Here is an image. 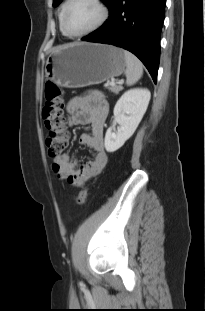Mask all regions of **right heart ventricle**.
Returning a JSON list of instances; mask_svg holds the SVG:
<instances>
[{"instance_id": "obj_1", "label": "right heart ventricle", "mask_w": 205, "mask_h": 311, "mask_svg": "<svg viewBox=\"0 0 205 311\" xmlns=\"http://www.w3.org/2000/svg\"><path fill=\"white\" fill-rule=\"evenodd\" d=\"M65 1L62 3L59 13H58V21H59V26H60V30L61 32L64 34L62 27H61V20H62V11H63V6H64ZM65 35V34H64Z\"/></svg>"}]
</instances>
